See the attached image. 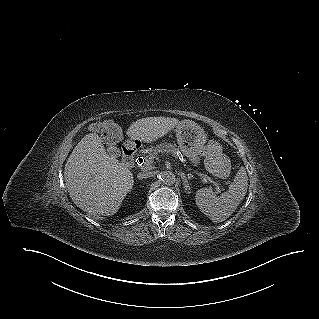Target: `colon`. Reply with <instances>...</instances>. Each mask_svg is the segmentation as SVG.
<instances>
[{"label":"colon","instance_id":"1","mask_svg":"<svg viewBox=\"0 0 319 319\" xmlns=\"http://www.w3.org/2000/svg\"><path fill=\"white\" fill-rule=\"evenodd\" d=\"M91 130L95 134L102 133L113 145H118L122 141L120 127L109 119L93 122ZM204 152L208 170L218 178H225L229 173V161L223 153L221 144L214 140L210 141Z\"/></svg>","mask_w":319,"mask_h":319}]
</instances>
